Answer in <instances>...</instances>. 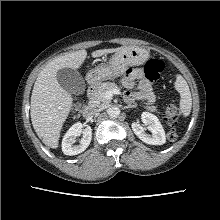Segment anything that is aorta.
I'll return each mask as SVG.
<instances>
[{
    "label": "aorta",
    "mask_w": 220,
    "mask_h": 220,
    "mask_svg": "<svg viewBox=\"0 0 220 220\" xmlns=\"http://www.w3.org/2000/svg\"><path fill=\"white\" fill-rule=\"evenodd\" d=\"M107 113L111 118H117L120 115V109L113 106L108 109Z\"/></svg>",
    "instance_id": "obj_1"
}]
</instances>
